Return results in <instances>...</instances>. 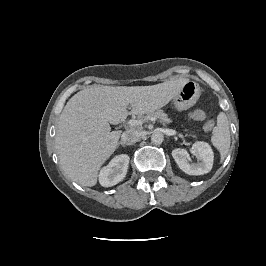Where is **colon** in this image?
<instances>
[{"instance_id": "1", "label": "colon", "mask_w": 266, "mask_h": 266, "mask_svg": "<svg viewBox=\"0 0 266 266\" xmlns=\"http://www.w3.org/2000/svg\"><path fill=\"white\" fill-rule=\"evenodd\" d=\"M190 118L194 119V120H204L206 118V114L202 110H196V111L191 113ZM212 126H213V122L212 121H207L204 124V129L207 130V131L211 130Z\"/></svg>"}]
</instances>
